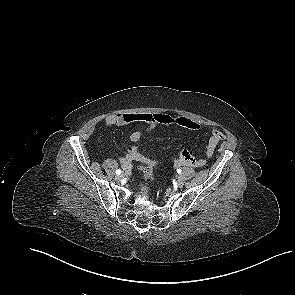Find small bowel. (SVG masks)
Listing matches in <instances>:
<instances>
[{"label": "small bowel", "instance_id": "1", "mask_svg": "<svg viewBox=\"0 0 295 295\" xmlns=\"http://www.w3.org/2000/svg\"><path fill=\"white\" fill-rule=\"evenodd\" d=\"M132 122H141L145 124V133L151 132L156 126H174L185 128L189 130H202L204 126L183 116H172L166 113H124V114H112L107 116L103 123L106 127L120 126ZM142 131H134L129 140L132 143H136L142 137ZM226 138L225 134L213 128L211 130L206 149L205 155L207 158L213 156L215 149L220 141ZM121 166L128 170L131 167L132 162L139 161L145 162V157L139 153L135 145L131 146L127 153L119 158ZM206 164L205 158H195L191 156L186 150L180 152L176 159V165L179 166H191V167H202Z\"/></svg>", "mask_w": 295, "mask_h": 295}]
</instances>
